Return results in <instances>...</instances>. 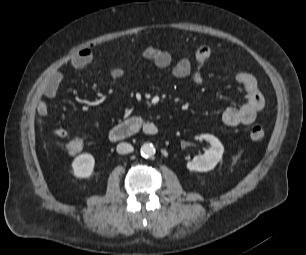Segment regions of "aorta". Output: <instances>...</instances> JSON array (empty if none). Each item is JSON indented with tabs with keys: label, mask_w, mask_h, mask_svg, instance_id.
I'll return each instance as SVG.
<instances>
[{
	"label": "aorta",
	"mask_w": 306,
	"mask_h": 255,
	"mask_svg": "<svg viewBox=\"0 0 306 255\" xmlns=\"http://www.w3.org/2000/svg\"><path fill=\"white\" fill-rule=\"evenodd\" d=\"M155 154V147L151 143H145L141 146V155L145 158H150Z\"/></svg>",
	"instance_id": "aorta-1"
}]
</instances>
